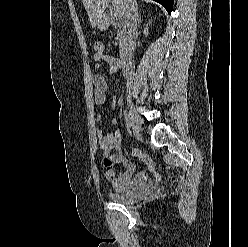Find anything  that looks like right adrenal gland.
Segmentation results:
<instances>
[{"instance_id": "2a0ac1e0", "label": "right adrenal gland", "mask_w": 248, "mask_h": 247, "mask_svg": "<svg viewBox=\"0 0 248 247\" xmlns=\"http://www.w3.org/2000/svg\"><path fill=\"white\" fill-rule=\"evenodd\" d=\"M136 9H137V20H138V23H140L141 22V15L138 11V5L136 6Z\"/></svg>"}]
</instances>
